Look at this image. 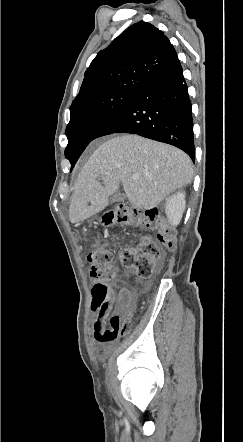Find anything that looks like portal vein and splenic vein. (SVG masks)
I'll use <instances>...</instances> for the list:
<instances>
[{
	"mask_svg": "<svg viewBox=\"0 0 243 442\" xmlns=\"http://www.w3.org/2000/svg\"><path fill=\"white\" fill-rule=\"evenodd\" d=\"M139 178V175L138 174H133L132 175V179H138Z\"/></svg>",
	"mask_w": 243,
	"mask_h": 442,
	"instance_id": "obj_1",
	"label": "portal vein and splenic vein"
}]
</instances>
